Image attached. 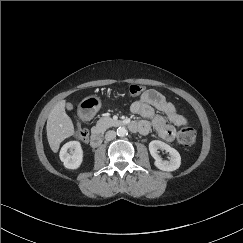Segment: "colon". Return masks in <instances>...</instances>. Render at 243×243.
Wrapping results in <instances>:
<instances>
[{
	"label": "colon",
	"instance_id": "colon-1",
	"mask_svg": "<svg viewBox=\"0 0 243 243\" xmlns=\"http://www.w3.org/2000/svg\"><path fill=\"white\" fill-rule=\"evenodd\" d=\"M143 90L144 88L141 85L133 84L128 87V94L130 97L135 98L141 95L143 93ZM78 135L81 138H84L86 136V133L84 130L80 129ZM178 140L180 144L185 147L192 146L196 141V131L193 128L187 127L179 133Z\"/></svg>",
	"mask_w": 243,
	"mask_h": 243
}]
</instances>
